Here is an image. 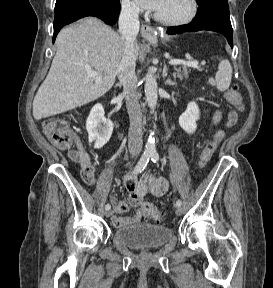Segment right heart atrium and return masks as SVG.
<instances>
[{
    "instance_id": "right-heart-atrium-1",
    "label": "right heart atrium",
    "mask_w": 273,
    "mask_h": 288,
    "mask_svg": "<svg viewBox=\"0 0 273 288\" xmlns=\"http://www.w3.org/2000/svg\"><path fill=\"white\" fill-rule=\"evenodd\" d=\"M121 8L129 17H137L139 14L138 6L132 0H121Z\"/></svg>"
}]
</instances>
